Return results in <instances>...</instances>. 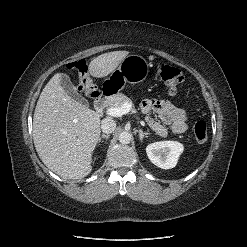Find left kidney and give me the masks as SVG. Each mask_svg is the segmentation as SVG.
<instances>
[{
  "instance_id": "1",
  "label": "left kidney",
  "mask_w": 247,
  "mask_h": 247,
  "mask_svg": "<svg viewBox=\"0 0 247 247\" xmlns=\"http://www.w3.org/2000/svg\"><path fill=\"white\" fill-rule=\"evenodd\" d=\"M183 150V145L177 141L154 142L146 147L150 161L162 169L175 167Z\"/></svg>"
}]
</instances>
